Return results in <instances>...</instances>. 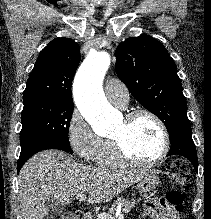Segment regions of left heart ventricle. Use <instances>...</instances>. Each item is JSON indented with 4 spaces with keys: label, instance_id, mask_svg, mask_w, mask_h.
Instances as JSON below:
<instances>
[{
    "label": "left heart ventricle",
    "instance_id": "left-heart-ventricle-1",
    "mask_svg": "<svg viewBox=\"0 0 211 219\" xmlns=\"http://www.w3.org/2000/svg\"><path fill=\"white\" fill-rule=\"evenodd\" d=\"M112 137L120 138L128 154L142 161L154 159L162 148L161 131L147 116H140L129 124L123 119Z\"/></svg>",
    "mask_w": 211,
    "mask_h": 219
}]
</instances>
